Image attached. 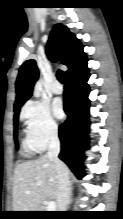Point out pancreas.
Listing matches in <instances>:
<instances>
[{
    "label": "pancreas",
    "mask_w": 123,
    "mask_h": 219,
    "mask_svg": "<svg viewBox=\"0 0 123 219\" xmlns=\"http://www.w3.org/2000/svg\"><path fill=\"white\" fill-rule=\"evenodd\" d=\"M39 208H40L39 211H46V209H45L46 207L43 205H41Z\"/></svg>",
    "instance_id": "1"
}]
</instances>
